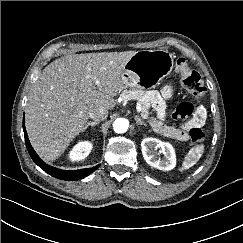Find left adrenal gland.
Listing matches in <instances>:
<instances>
[{
    "label": "left adrenal gland",
    "instance_id": "left-adrenal-gland-1",
    "mask_svg": "<svg viewBox=\"0 0 243 243\" xmlns=\"http://www.w3.org/2000/svg\"><path fill=\"white\" fill-rule=\"evenodd\" d=\"M135 121H136V124H137V125H144V126H147V124H146L145 122H143V121L141 120V118L138 117V116H135Z\"/></svg>",
    "mask_w": 243,
    "mask_h": 243
}]
</instances>
